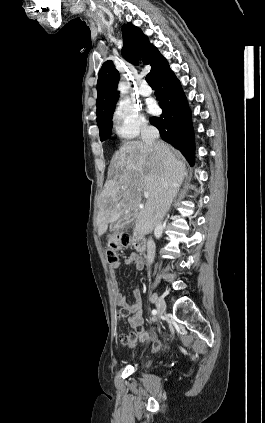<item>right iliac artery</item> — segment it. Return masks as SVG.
Returning <instances> with one entry per match:
<instances>
[{
	"mask_svg": "<svg viewBox=\"0 0 265 423\" xmlns=\"http://www.w3.org/2000/svg\"><path fill=\"white\" fill-rule=\"evenodd\" d=\"M157 311L155 309L152 310V314L155 315Z\"/></svg>",
	"mask_w": 265,
	"mask_h": 423,
	"instance_id": "obj_1",
	"label": "right iliac artery"
}]
</instances>
